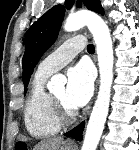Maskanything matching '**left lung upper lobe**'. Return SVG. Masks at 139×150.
Here are the masks:
<instances>
[{
    "label": "left lung upper lobe",
    "mask_w": 139,
    "mask_h": 150,
    "mask_svg": "<svg viewBox=\"0 0 139 150\" xmlns=\"http://www.w3.org/2000/svg\"><path fill=\"white\" fill-rule=\"evenodd\" d=\"M85 6L96 13L104 14V10L99 0H83ZM74 0H66L65 6L70 9ZM77 5L81 7L80 0ZM65 14V9L61 5H56L48 10L41 18L36 21L26 32L25 53L22 60L23 83L25 92L29 83L30 76L44 52L55 42L59 33Z\"/></svg>",
    "instance_id": "left-lung-upper-lobe-1"
}]
</instances>
